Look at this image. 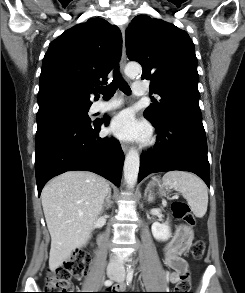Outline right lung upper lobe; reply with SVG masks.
<instances>
[{"instance_id": "1", "label": "right lung upper lobe", "mask_w": 245, "mask_h": 293, "mask_svg": "<svg viewBox=\"0 0 245 293\" xmlns=\"http://www.w3.org/2000/svg\"><path fill=\"white\" fill-rule=\"evenodd\" d=\"M122 37L117 26L93 18L65 31L51 42L40 74L39 108L60 104L90 105L95 88L121 56Z\"/></svg>"}]
</instances>
